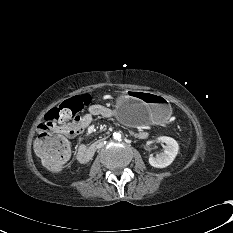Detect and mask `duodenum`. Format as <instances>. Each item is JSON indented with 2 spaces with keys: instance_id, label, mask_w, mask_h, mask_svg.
<instances>
[{
  "instance_id": "obj_1",
  "label": "duodenum",
  "mask_w": 233,
  "mask_h": 233,
  "mask_svg": "<svg viewBox=\"0 0 233 233\" xmlns=\"http://www.w3.org/2000/svg\"><path fill=\"white\" fill-rule=\"evenodd\" d=\"M100 141L92 144L91 146H81L78 149L77 157L81 163H88L94 156L96 150L98 149Z\"/></svg>"
}]
</instances>
